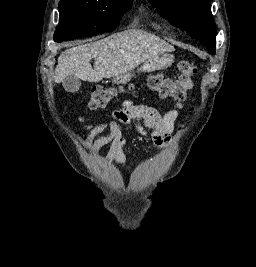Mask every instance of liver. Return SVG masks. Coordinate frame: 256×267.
<instances>
[{"label":"liver","instance_id":"liver-1","mask_svg":"<svg viewBox=\"0 0 256 267\" xmlns=\"http://www.w3.org/2000/svg\"><path fill=\"white\" fill-rule=\"evenodd\" d=\"M164 52H175V48L143 30H125L99 42L75 46L62 52L54 80L60 84L73 74L84 82H101L103 78H115L114 82H122L126 72ZM92 58L95 60L94 68L90 64Z\"/></svg>","mask_w":256,"mask_h":267}]
</instances>
